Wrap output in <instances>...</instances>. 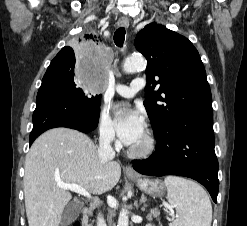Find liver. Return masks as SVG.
<instances>
[{"label":"liver","mask_w":247,"mask_h":226,"mask_svg":"<svg viewBox=\"0 0 247 226\" xmlns=\"http://www.w3.org/2000/svg\"><path fill=\"white\" fill-rule=\"evenodd\" d=\"M120 176L119 163H101L87 135L63 127L43 133L25 161L24 196L29 226H59L72 195L59 188L58 183L77 184L100 195L110 191Z\"/></svg>","instance_id":"liver-1"}]
</instances>
